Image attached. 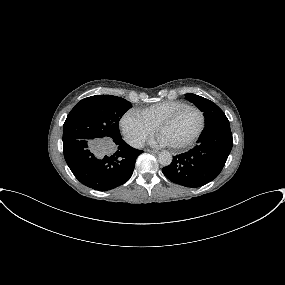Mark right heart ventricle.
Here are the masks:
<instances>
[{
    "instance_id": "right-heart-ventricle-1",
    "label": "right heart ventricle",
    "mask_w": 285,
    "mask_h": 285,
    "mask_svg": "<svg viewBox=\"0 0 285 285\" xmlns=\"http://www.w3.org/2000/svg\"><path fill=\"white\" fill-rule=\"evenodd\" d=\"M187 103L180 100H166L137 111L149 124L156 127L164 118Z\"/></svg>"
}]
</instances>
